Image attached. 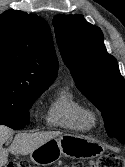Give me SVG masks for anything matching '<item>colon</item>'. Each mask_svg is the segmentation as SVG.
Listing matches in <instances>:
<instances>
[{
	"label": "colon",
	"instance_id": "1",
	"mask_svg": "<svg viewBox=\"0 0 125 167\" xmlns=\"http://www.w3.org/2000/svg\"><path fill=\"white\" fill-rule=\"evenodd\" d=\"M4 167H33V165L27 160H17L7 163ZM65 167H125V160L117 154H105L89 164L76 162Z\"/></svg>",
	"mask_w": 125,
	"mask_h": 167
}]
</instances>
